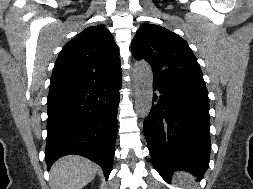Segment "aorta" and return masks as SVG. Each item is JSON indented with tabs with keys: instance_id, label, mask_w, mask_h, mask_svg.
I'll list each match as a JSON object with an SVG mask.
<instances>
[{
	"instance_id": "aorta-1",
	"label": "aorta",
	"mask_w": 253,
	"mask_h": 189,
	"mask_svg": "<svg viewBox=\"0 0 253 189\" xmlns=\"http://www.w3.org/2000/svg\"><path fill=\"white\" fill-rule=\"evenodd\" d=\"M135 82V109L141 118H146L151 110L153 98V72L145 61L135 63L133 69Z\"/></svg>"
}]
</instances>
